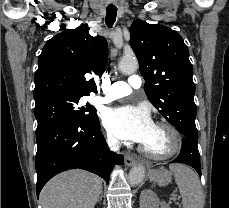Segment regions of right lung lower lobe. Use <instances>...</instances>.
Returning a JSON list of instances; mask_svg holds the SVG:
<instances>
[{
	"instance_id": "right-lung-lower-lobe-1",
	"label": "right lung lower lobe",
	"mask_w": 229,
	"mask_h": 208,
	"mask_svg": "<svg viewBox=\"0 0 229 208\" xmlns=\"http://www.w3.org/2000/svg\"><path fill=\"white\" fill-rule=\"evenodd\" d=\"M36 193L56 174L68 169H84L109 181L115 164L123 156L112 153L100 131L99 120L86 123L76 119L55 122L36 134Z\"/></svg>"
}]
</instances>
